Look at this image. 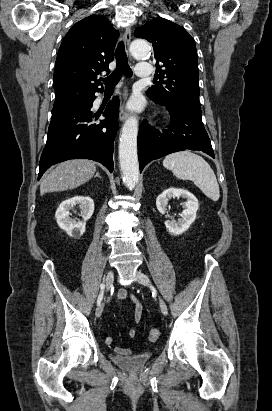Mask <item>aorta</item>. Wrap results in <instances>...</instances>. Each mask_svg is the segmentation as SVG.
Masks as SVG:
<instances>
[{"instance_id":"aorta-1","label":"aorta","mask_w":272,"mask_h":411,"mask_svg":"<svg viewBox=\"0 0 272 411\" xmlns=\"http://www.w3.org/2000/svg\"><path fill=\"white\" fill-rule=\"evenodd\" d=\"M133 57L143 58L149 55L150 45L147 41L137 39L130 45ZM138 120L129 117L124 123L119 143V163L123 181L130 190L134 189L139 180V165L137 155Z\"/></svg>"}]
</instances>
